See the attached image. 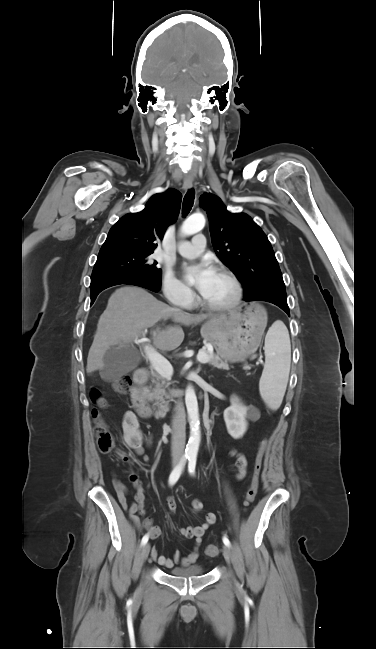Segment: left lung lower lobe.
Listing matches in <instances>:
<instances>
[{"mask_svg":"<svg viewBox=\"0 0 376 649\" xmlns=\"http://www.w3.org/2000/svg\"><path fill=\"white\" fill-rule=\"evenodd\" d=\"M257 300H263V301L271 302V303L279 306L282 310H284L290 316L287 301L278 300V299L272 298V297H261L260 299H257Z\"/></svg>","mask_w":376,"mask_h":649,"instance_id":"0a47b994","label":"left lung lower lobe"}]
</instances>
